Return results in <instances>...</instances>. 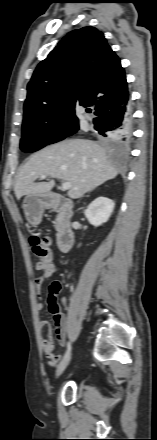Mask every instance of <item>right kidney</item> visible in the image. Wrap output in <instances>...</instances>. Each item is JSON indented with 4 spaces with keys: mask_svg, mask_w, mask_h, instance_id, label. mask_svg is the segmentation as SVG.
<instances>
[{
    "mask_svg": "<svg viewBox=\"0 0 157 440\" xmlns=\"http://www.w3.org/2000/svg\"><path fill=\"white\" fill-rule=\"evenodd\" d=\"M114 207L115 203L111 199L101 196L88 205L84 214L90 224L98 227L109 220Z\"/></svg>",
    "mask_w": 157,
    "mask_h": 440,
    "instance_id": "right-kidney-1",
    "label": "right kidney"
}]
</instances>
